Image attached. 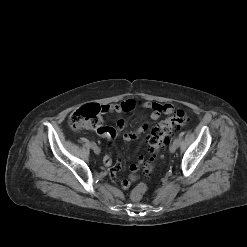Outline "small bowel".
<instances>
[{
	"instance_id": "small-bowel-1",
	"label": "small bowel",
	"mask_w": 247,
	"mask_h": 247,
	"mask_svg": "<svg viewBox=\"0 0 247 247\" xmlns=\"http://www.w3.org/2000/svg\"><path fill=\"white\" fill-rule=\"evenodd\" d=\"M136 107H140L143 109L151 110V119L157 120L162 114L169 115L173 112L174 108L170 104H161L157 102H149V101H141L137 102L133 99H127L117 104L104 105V112H114V113H124L129 112L135 109ZM125 126V121L123 119H119L116 122L115 127H109L101 125L99 129L96 130L98 135L113 141L117 136V133L121 131ZM148 125L144 124L139 127L136 131L130 132L124 135V140L129 142L136 139L140 134L147 131ZM143 163V157L138 156L134 162L130 165L129 169L132 175L128 179H118L117 170L121 167V160H118L116 165L110 168L109 177L113 181H119L121 187L123 189H128L131 182L135 180V173L139 169L140 165ZM103 164L106 167H111L112 159L110 155V151L108 150L103 156Z\"/></svg>"
}]
</instances>
